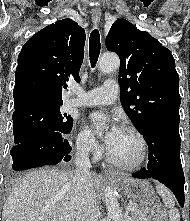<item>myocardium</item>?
I'll list each match as a JSON object with an SVG mask.
<instances>
[{
    "instance_id": "f54148a6",
    "label": "myocardium",
    "mask_w": 190,
    "mask_h": 221,
    "mask_svg": "<svg viewBox=\"0 0 190 221\" xmlns=\"http://www.w3.org/2000/svg\"><path fill=\"white\" fill-rule=\"evenodd\" d=\"M121 129L133 133L138 138V140L141 144V156H140V158L134 163H124V162L116 159L110 153L107 146L105 148V156H106V158L109 162H111L112 164H114L115 166H117L120 169H123V170H137V169H140L145 164V162L147 160V157H148V142H147L145 136L143 135V133L133 125H129V124L122 125Z\"/></svg>"
}]
</instances>
